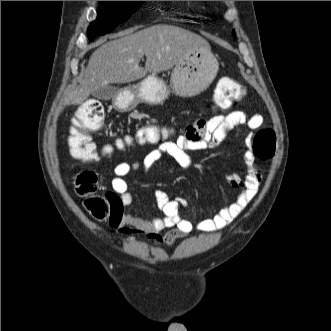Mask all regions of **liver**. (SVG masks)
<instances>
[{"mask_svg":"<svg viewBox=\"0 0 331 331\" xmlns=\"http://www.w3.org/2000/svg\"><path fill=\"white\" fill-rule=\"evenodd\" d=\"M209 45L201 36L171 25H154L133 33H122L91 55L78 87L69 93L59 108L81 104L96 89L110 83H129L173 68L187 53ZM146 56L145 68L139 66Z\"/></svg>","mask_w":331,"mask_h":331,"instance_id":"1","label":"liver"}]
</instances>
